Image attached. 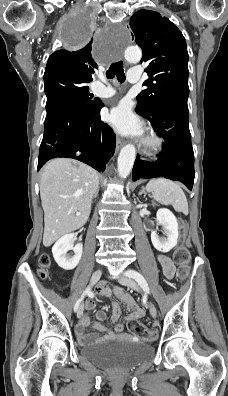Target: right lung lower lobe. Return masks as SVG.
I'll use <instances>...</instances> for the list:
<instances>
[{"mask_svg": "<svg viewBox=\"0 0 228 396\" xmlns=\"http://www.w3.org/2000/svg\"><path fill=\"white\" fill-rule=\"evenodd\" d=\"M101 100L90 108L73 106L46 116L38 170L50 159L67 157L82 161L99 172L115 151L116 137L100 118Z\"/></svg>", "mask_w": 228, "mask_h": 396, "instance_id": "obj_1", "label": "right lung lower lobe"}]
</instances>
